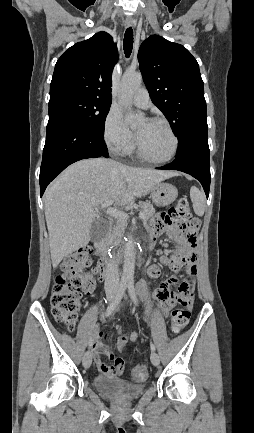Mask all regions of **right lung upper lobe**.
Returning a JSON list of instances; mask_svg holds the SVG:
<instances>
[{
  "label": "right lung upper lobe",
  "mask_w": 254,
  "mask_h": 433,
  "mask_svg": "<svg viewBox=\"0 0 254 433\" xmlns=\"http://www.w3.org/2000/svg\"><path fill=\"white\" fill-rule=\"evenodd\" d=\"M117 60V46L106 32L76 43L55 65L49 105L73 98L111 103L112 71Z\"/></svg>",
  "instance_id": "1"
}]
</instances>
